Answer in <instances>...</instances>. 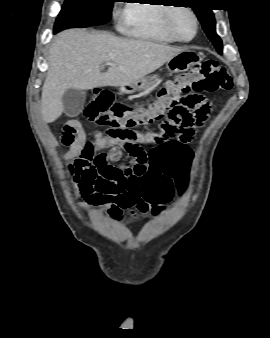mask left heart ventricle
Instances as JSON below:
<instances>
[{
	"label": "left heart ventricle",
	"mask_w": 270,
	"mask_h": 338,
	"mask_svg": "<svg viewBox=\"0 0 270 338\" xmlns=\"http://www.w3.org/2000/svg\"><path fill=\"white\" fill-rule=\"evenodd\" d=\"M174 28L177 35L181 38H189L194 32V23L192 17L184 12H180L175 16Z\"/></svg>",
	"instance_id": "1"
}]
</instances>
